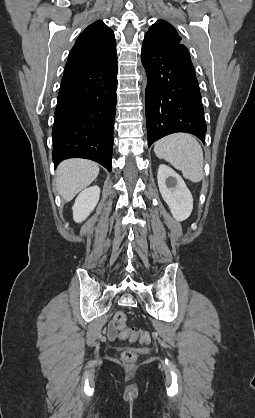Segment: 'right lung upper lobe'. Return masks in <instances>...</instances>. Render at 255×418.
Instances as JSON below:
<instances>
[{"label":"right lung upper lobe","instance_id":"obj_1","mask_svg":"<svg viewBox=\"0 0 255 418\" xmlns=\"http://www.w3.org/2000/svg\"><path fill=\"white\" fill-rule=\"evenodd\" d=\"M117 58L113 31L102 21L89 25L71 49L64 71L107 63Z\"/></svg>","mask_w":255,"mask_h":418}]
</instances>
